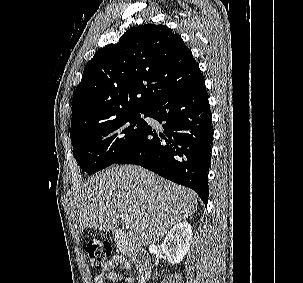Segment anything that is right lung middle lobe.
<instances>
[{
    "label": "right lung middle lobe",
    "instance_id": "dd1d6c3e",
    "mask_svg": "<svg viewBox=\"0 0 303 283\" xmlns=\"http://www.w3.org/2000/svg\"><path fill=\"white\" fill-rule=\"evenodd\" d=\"M147 111H134L71 133L74 157L89 175L114 164L143 134Z\"/></svg>",
    "mask_w": 303,
    "mask_h": 283
}]
</instances>
